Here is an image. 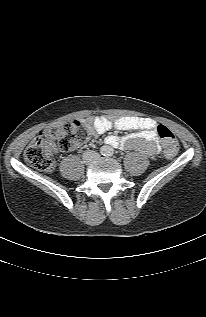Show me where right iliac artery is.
I'll return each mask as SVG.
<instances>
[{
    "instance_id": "82829eb1",
    "label": "right iliac artery",
    "mask_w": 206,
    "mask_h": 317,
    "mask_svg": "<svg viewBox=\"0 0 206 317\" xmlns=\"http://www.w3.org/2000/svg\"><path fill=\"white\" fill-rule=\"evenodd\" d=\"M100 153L102 155H106L107 154V150L105 148H101Z\"/></svg>"
}]
</instances>
